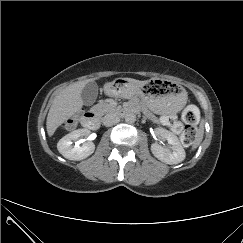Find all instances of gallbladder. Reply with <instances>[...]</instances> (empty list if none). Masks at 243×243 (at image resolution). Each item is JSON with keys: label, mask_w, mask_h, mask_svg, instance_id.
Masks as SVG:
<instances>
[{"label": "gallbladder", "mask_w": 243, "mask_h": 243, "mask_svg": "<svg viewBox=\"0 0 243 243\" xmlns=\"http://www.w3.org/2000/svg\"><path fill=\"white\" fill-rule=\"evenodd\" d=\"M97 95L98 86L94 81H91L83 88L81 98L85 105L90 106L96 101Z\"/></svg>", "instance_id": "gallbladder-1"}]
</instances>
